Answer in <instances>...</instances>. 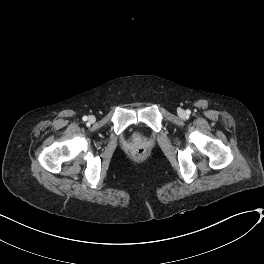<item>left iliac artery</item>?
Here are the masks:
<instances>
[{
  "label": "left iliac artery",
  "mask_w": 264,
  "mask_h": 264,
  "mask_svg": "<svg viewBox=\"0 0 264 264\" xmlns=\"http://www.w3.org/2000/svg\"><path fill=\"white\" fill-rule=\"evenodd\" d=\"M187 114H190V112H189V111H187Z\"/></svg>",
  "instance_id": "obj_1"
}]
</instances>
